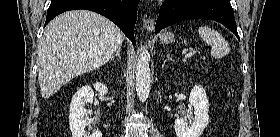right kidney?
<instances>
[{"label":"right kidney","instance_id":"ca27d5eb","mask_svg":"<svg viewBox=\"0 0 280 137\" xmlns=\"http://www.w3.org/2000/svg\"><path fill=\"white\" fill-rule=\"evenodd\" d=\"M94 88L102 94H106L108 92L107 86L103 83L96 82L94 84ZM93 97V89L88 85L78 89V91L73 95L70 103L69 114V126L72 137H102L101 132L98 130H95L92 135H87L85 133L87 125V111L84 106L87 103H92Z\"/></svg>","mask_w":280,"mask_h":137}]
</instances>
